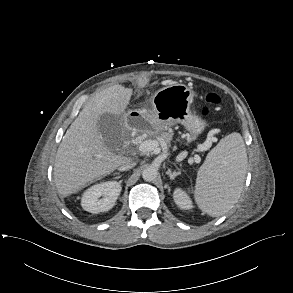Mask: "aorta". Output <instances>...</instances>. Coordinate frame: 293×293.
<instances>
[{"label":"aorta","mask_w":293,"mask_h":293,"mask_svg":"<svg viewBox=\"0 0 293 293\" xmlns=\"http://www.w3.org/2000/svg\"><path fill=\"white\" fill-rule=\"evenodd\" d=\"M158 176V170L154 166H148L142 171V178L147 182L156 180Z\"/></svg>","instance_id":"762f6f07"}]
</instances>
